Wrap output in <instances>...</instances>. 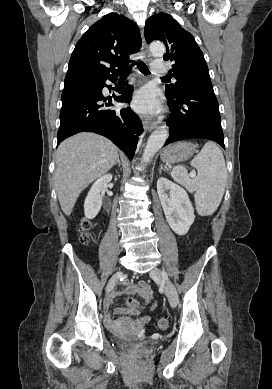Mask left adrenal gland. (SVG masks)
<instances>
[{"label": "left adrenal gland", "mask_w": 272, "mask_h": 389, "mask_svg": "<svg viewBox=\"0 0 272 389\" xmlns=\"http://www.w3.org/2000/svg\"><path fill=\"white\" fill-rule=\"evenodd\" d=\"M162 170H164V171L167 170V167L166 166L164 167L163 164H161V166H160L159 173H161Z\"/></svg>", "instance_id": "left-adrenal-gland-1"}]
</instances>
